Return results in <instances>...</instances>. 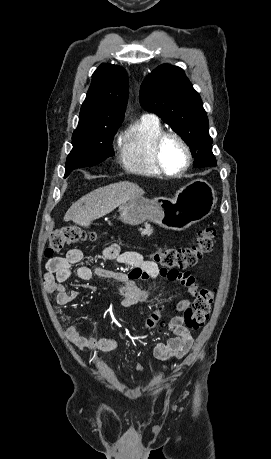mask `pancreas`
Wrapping results in <instances>:
<instances>
[{"label":"pancreas","mask_w":271,"mask_h":459,"mask_svg":"<svg viewBox=\"0 0 271 459\" xmlns=\"http://www.w3.org/2000/svg\"><path fill=\"white\" fill-rule=\"evenodd\" d=\"M147 228H149V226H147ZM144 232L146 233L147 231L145 230Z\"/></svg>","instance_id":"obj_1"}]
</instances>
